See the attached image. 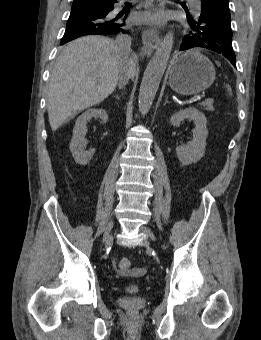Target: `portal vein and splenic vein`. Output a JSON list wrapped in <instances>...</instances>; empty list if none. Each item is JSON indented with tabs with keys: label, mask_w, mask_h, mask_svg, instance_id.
<instances>
[{
	"label": "portal vein and splenic vein",
	"mask_w": 261,
	"mask_h": 340,
	"mask_svg": "<svg viewBox=\"0 0 261 340\" xmlns=\"http://www.w3.org/2000/svg\"><path fill=\"white\" fill-rule=\"evenodd\" d=\"M204 96H197L195 100H202Z\"/></svg>",
	"instance_id": "1"
}]
</instances>
